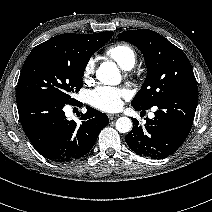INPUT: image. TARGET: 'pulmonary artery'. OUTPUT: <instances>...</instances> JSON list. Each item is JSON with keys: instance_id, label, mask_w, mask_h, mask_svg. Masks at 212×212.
<instances>
[{"instance_id": "obj_1", "label": "pulmonary artery", "mask_w": 212, "mask_h": 212, "mask_svg": "<svg viewBox=\"0 0 212 212\" xmlns=\"http://www.w3.org/2000/svg\"><path fill=\"white\" fill-rule=\"evenodd\" d=\"M154 114L152 113L150 116L152 117Z\"/></svg>"}]
</instances>
